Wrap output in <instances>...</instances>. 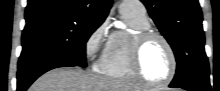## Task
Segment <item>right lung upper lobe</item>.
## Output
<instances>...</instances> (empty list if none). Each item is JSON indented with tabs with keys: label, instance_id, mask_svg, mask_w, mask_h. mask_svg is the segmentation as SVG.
<instances>
[{
	"label": "right lung upper lobe",
	"instance_id": "cb5924a9",
	"mask_svg": "<svg viewBox=\"0 0 220 91\" xmlns=\"http://www.w3.org/2000/svg\"><path fill=\"white\" fill-rule=\"evenodd\" d=\"M112 0H29L26 24L53 18H76L102 24Z\"/></svg>",
	"mask_w": 220,
	"mask_h": 91
}]
</instances>
